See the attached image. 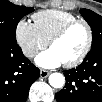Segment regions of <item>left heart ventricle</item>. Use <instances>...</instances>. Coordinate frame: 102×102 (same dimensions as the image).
I'll list each match as a JSON object with an SVG mask.
<instances>
[{"instance_id":"b2bd125f","label":"left heart ventricle","mask_w":102,"mask_h":102,"mask_svg":"<svg viewBox=\"0 0 102 102\" xmlns=\"http://www.w3.org/2000/svg\"><path fill=\"white\" fill-rule=\"evenodd\" d=\"M87 42V30L82 24L74 26L62 39L55 42L51 49L63 63L75 60Z\"/></svg>"}]
</instances>
